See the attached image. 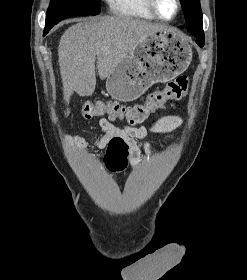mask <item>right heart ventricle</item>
Segmentation results:
<instances>
[{
  "mask_svg": "<svg viewBox=\"0 0 247 280\" xmlns=\"http://www.w3.org/2000/svg\"><path fill=\"white\" fill-rule=\"evenodd\" d=\"M113 14L121 17H131L144 20H155L147 0H107Z\"/></svg>",
  "mask_w": 247,
  "mask_h": 280,
  "instance_id": "obj_1",
  "label": "right heart ventricle"
}]
</instances>
